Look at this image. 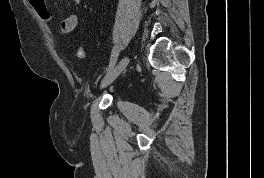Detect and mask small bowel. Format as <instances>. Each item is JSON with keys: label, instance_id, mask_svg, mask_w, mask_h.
Wrapping results in <instances>:
<instances>
[{"label": "small bowel", "instance_id": "small-bowel-1", "mask_svg": "<svg viewBox=\"0 0 264 178\" xmlns=\"http://www.w3.org/2000/svg\"><path fill=\"white\" fill-rule=\"evenodd\" d=\"M81 0H73L74 11L64 19L58 20L56 26L61 34L67 35L75 30L79 22L78 8Z\"/></svg>", "mask_w": 264, "mask_h": 178}]
</instances>
